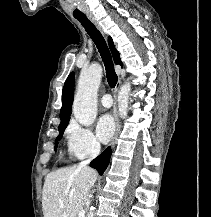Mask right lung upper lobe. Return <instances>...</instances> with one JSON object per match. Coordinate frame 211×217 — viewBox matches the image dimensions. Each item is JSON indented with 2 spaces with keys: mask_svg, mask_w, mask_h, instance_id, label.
<instances>
[{
  "mask_svg": "<svg viewBox=\"0 0 211 217\" xmlns=\"http://www.w3.org/2000/svg\"><path fill=\"white\" fill-rule=\"evenodd\" d=\"M108 43L115 63L122 66L119 53L115 49L114 43L110 37L108 38ZM74 83H75V76L74 73L72 72L69 74L68 78L66 79L62 91V108L60 110L61 123L59 125V129L63 127H67L70 119L73 95H74Z\"/></svg>",
  "mask_w": 211,
  "mask_h": 217,
  "instance_id": "cb5924a9",
  "label": "right lung upper lobe"
}]
</instances>
